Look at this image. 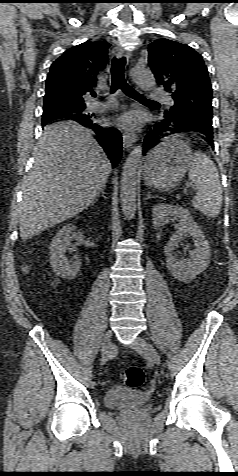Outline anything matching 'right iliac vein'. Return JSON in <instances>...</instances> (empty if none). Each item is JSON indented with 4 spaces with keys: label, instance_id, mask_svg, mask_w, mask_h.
Instances as JSON below:
<instances>
[{
    "label": "right iliac vein",
    "instance_id": "1",
    "mask_svg": "<svg viewBox=\"0 0 238 476\" xmlns=\"http://www.w3.org/2000/svg\"><path fill=\"white\" fill-rule=\"evenodd\" d=\"M113 349H114V345L112 342V333L111 331H107L104 336L102 348H101V355H102L101 365H104L107 362V360L109 359V357L111 356L113 352Z\"/></svg>",
    "mask_w": 238,
    "mask_h": 476
}]
</instances>
